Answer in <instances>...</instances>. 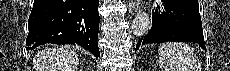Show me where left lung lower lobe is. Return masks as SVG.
I'll list each match as a JSON object with an SVG mask.
<instances>
[{"label":"left lung lower lobe","mask_w":230,"mask_h":71,"mask_svg":"<svg viewBox=\"0 0 230 71\" xmlns=\"http://www.w3.org/2000/svg\"><path fill=\"white\" fill-rule=\"evenodd\" d=\"M165 11L156 10L150 32L137 45L168 41L198 42L205 48L201 17L197 0H162ZM206 50V49H205Z\"/></svg>","instance_id":"left-lung-lower-lobe-1"}]
</instances>
